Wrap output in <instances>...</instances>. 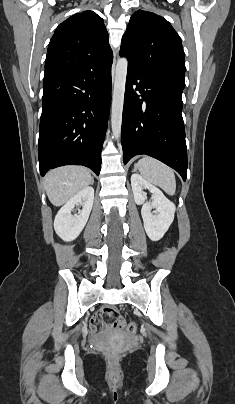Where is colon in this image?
Listing matches in <instances>:
<instances>
[{"label": "colon", "instance_id": "colon-1", "mask_svg": "<svg viewBox=\"0 0 235 404\" xmlns=\"http://www.w3.org/2000/svg\"><path fill=\"white\" fill-rule=\"evenodd\" d=\"M105 315L114 318L112 321H108L106 326L109 330H120L121 328H126L129 333H135L137 330V325L134 322L126 323L123 318L117 317V310L113 307L104 308Z\"/></svg>", "mask_w": 235, "mask_h": 404}]
</instances>
